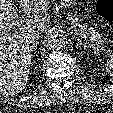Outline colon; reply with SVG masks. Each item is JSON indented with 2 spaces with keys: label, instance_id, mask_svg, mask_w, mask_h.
I'll list each match as a JSON object with an SVG mask.
<instances>
[{
  "label": "colon",
  "instance_id": "colon-1",
  "mask_svg": "<svg viewBox=\"0 0 113 113\" xmlns=\"http://www.w3.org/2000/svg\"><path fill=\"white\" fill-rule=\"evenodd\" d=\"M96 11L101 18L113 23V0H97Z\"/></svg>",
  "mask_w": 113,
  "mask_h": 113
}]
</instances>
